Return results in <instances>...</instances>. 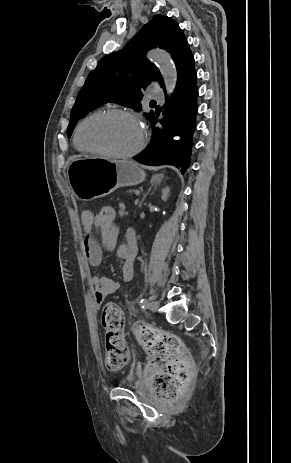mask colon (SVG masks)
Masks as SVG:
<instances>
[{
    "mask_svg": "<svg viewBox=\"0 0 291 463\" xmlns=\"http://www.w3.org/2000/svg\"><path fill=\"white\" fill-rule=\"evenodd\" d=\"M118 221V208L102 204L96 210L98 229L104 231ZM125 319L121 309L108 304L102 312L105 329V363L110 370L122 369L128 362V351L124 338ZM138 335L152 360L147 367L152 386L157 396L170 398L183 391L192 377V367L188 353L181 339L171 333L149 327H140Z\"/></svg>",
    "mask_w": 291,
    "mask_h": 463,
    "instance_id": "1",
    "label": "colon"
}]
</instances>
